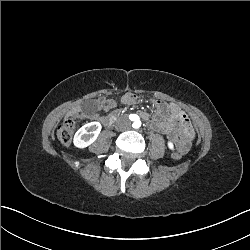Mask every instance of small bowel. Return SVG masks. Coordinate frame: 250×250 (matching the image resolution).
<instances>
[{"mask_svg": "<svg viewBox=\"0 0 250 250\" xmlns=\"http://www.w3.org/2000/svg\"><path fill=\"white\" fill-rule=\"evenodd\" d=\"M120 102L124 105H135L140 102V98L134 94H125L120 98ZM115 106V102L110 99L102 98L95 101V108L99 111H107ZM152 107L155 110V115L150 121L151 129L164 134L175 142L180 152L188 151L194 138V130L185 113L176 104H168L160 100H153ZM140 114L147 117L144 112ZM74 116L78 119L98 118L96 113L87 114L82 111H76Z\"/></svg>", "mask_w": 250, "mask_h": 250, "instance_id": "1", "label": "small bowel"}]
</instances>
